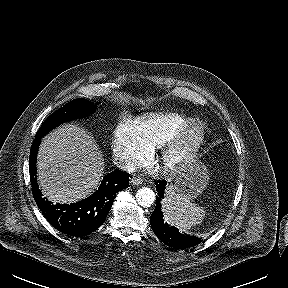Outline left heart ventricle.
<instances>
[{
  "instance_id": "obj_1",
  "label": "left heart ventricle",
  "mask_w": 288,
  "mask_h": 288,
  "mask_svg": "<svg viewBox=\"0 0 288 288\" xmlns=\"http://www.w3.org/2000/svg\"><path fill=\"white\" fill-rule=\"evenodd\" d=\"M196 133H197L196 129L191 130V132L188 134L187 138L184 140V142L176 150V152H175L176 155H179L183 152V150L189 145L190 141L194 138Z\"/></svg>"
}]
</instances>
